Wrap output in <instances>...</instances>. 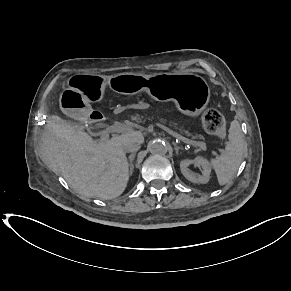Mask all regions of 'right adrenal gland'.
<instances>
[{"label":"right adrenal gland","mask_w":291,"mask_h":291,"mask_svg":"<svg viewBox=\"0 0 291 291\" xmlns=\"http://www.w3.org/2000/svg\"><path fill=\"white\" fill-rule=\"evenodd\" d=\"M135 155H136V153L133 152V153L130 154L129 157H128V159H129V167H130V174H132V173H133V170H134L133 161H134Z\"/></svg>","instance_id":"right-adrenal-gland-1"}]
</instances>
